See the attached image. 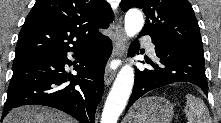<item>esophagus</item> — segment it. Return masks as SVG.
<instances>
[{
  "label": "esophagus",
  "instance_id": "esophagus-1",
  "mask_svg": "<svg viewBox=\"0 0 221 123\" xmlns=\"http://www.w3.org/2000/svg\"><path fill=\"white\" fill-rule=\"evenodd\" d=\"M113 51L111 55V60L121 58L126 50V37L122 28V25L117 22L114 27V37H113ZM116 75V71L111 68L110 63L105 69V84L108 86Z\"/></svg>",
  "mask_w": 221,
  "mask_h": 123
}]
</instances>
